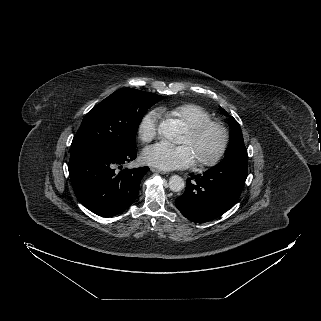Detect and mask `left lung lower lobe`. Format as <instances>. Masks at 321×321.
Listing matches in <instances>:
<instances>
[{
  "instance_id": "1",
  "label": "left lung lower lobe",
  "mask_w": 321,
  "mask_h": 321,
  "mask_svg": "<svg viewBox=\"0 0 321 321\" xmlns=\"http://www.w3.org/2000/svg\"><path fill=\"white\" fill-rule=\"evenodd\" d=\"M247 162L244 158L223 160L202 175L188 178L176 207L196 223L218 218L239 199L247 178Z\"/></svg>"
}]
</instances>
